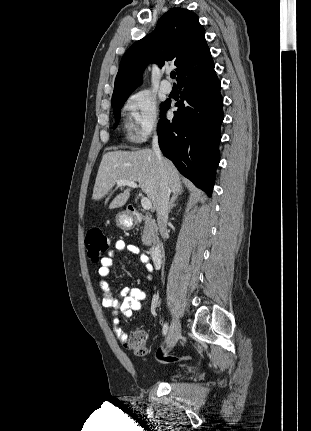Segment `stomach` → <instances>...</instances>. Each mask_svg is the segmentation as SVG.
Here are the masks:
<instances>
[{"label": "stomach", "mask_w": 311, "mask_h": 431, "mask_svg": "<svg viewBox=\"0 0 311 431\" xmlns=\"http://www.w3.org/2000/svg\"><path fill=\"white\" fill-rule=\"evenodd\" d=\"M116 225L120 227V229H133L136 225V219L134 216H130L127 212H119L115 216Z\"/></svg>", "instance_id": "obj_1"}]
</instances>
